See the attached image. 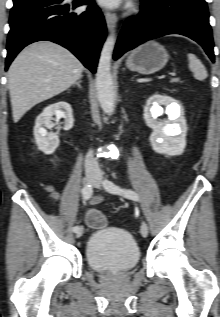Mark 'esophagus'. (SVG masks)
<instances>
[{
    "instance_id": "34e87169",
    "label": "esophagus",
    "mask_w": 220,
    "mask_h": 317,
    "mask_svg": "<svg viewBox=\"0 0 220 317\" xmlns=\"http://www.w3.org/2000/svg\"><path fill=\"white\" fill-rule=\"evenodd\" d=\"M104 15H105V21H106L108 29L110 31L113 30V28L115 27V24L117 22L116 14L109 12V11H106Z\"/></svg>"
}]
</instances>
